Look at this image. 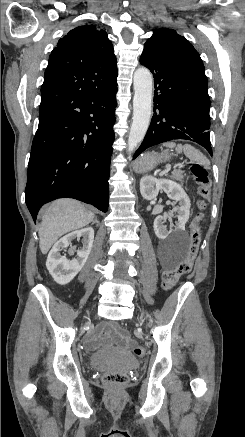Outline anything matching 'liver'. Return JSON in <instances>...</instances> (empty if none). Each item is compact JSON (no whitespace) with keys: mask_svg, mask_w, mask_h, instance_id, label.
<instances>
[{"mask_svg":"<svg viewBox=\"0 0 245 437\" xmlns=\"http://www.w3.org/2000/svg\"><path fill=\"white\" fill-rule=\"evenodd\" d=\"M94 217L93 212L76 200L59 199L52 202L42 215L38 232L41 252L46 254L62 235L87 226Z\"/></svg>","mask_w":245,"mask_h":437,"instance_id":"6515ba94","label":"liver"}]
</instances>
